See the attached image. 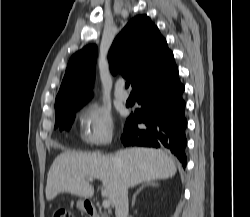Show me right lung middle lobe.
<instances>
[{"label":"right lung middle lobe","mask_w":250,"mask_h":217,"mask_svg":"<svg viewBox=\"0 0 250 217\" xmlns=\"http://www.w3.org/2000/svg\"><path fill=\"white\" fill-rule=\"evenodd\" d=\"M78 110V109H76ZM70 111L64 114H60L55 117V128L59 127L60 130L66 129L69 130L72 126L75 117V111Z\"/></svg>","instance_id":"obj_1"}]
</instances>
